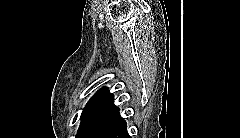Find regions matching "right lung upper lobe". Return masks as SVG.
Wrapping results in <instances>:
<instances>
[{"label":"right lung upper lobe","mask_w":240,"mask_h":138,"mask_svg":"<svg viewBox=\"0 0 240 138\" xmlns=\"http://www.w3.org/2000/svg\"><path fill=\"white\" fill-rule=\"evenodd\" d=\"M113 99V95L106 87L101 88L89 100L86 107L83 109L82 115L98 114L111 116L119 112L118 107H116L113 103Z\"/></svg>","instance_id":"cb5924a9"}]
</instances>
